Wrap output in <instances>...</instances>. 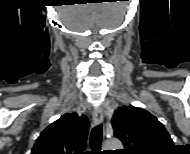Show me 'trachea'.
<instances>
[{
  "label": "trachea",
  "mask_w": 190,
  "mask_h": 154,
  "mask_svg": "<svg viewBox=\"0 0 190 154\" xmlns=\"http://www.w3.org/2000/svg\"><path fill=\"white\" fill-rule=\"evenodd\" d=\"M102 126L99 124L95 126L90 135V146H91V154H100L101 151V143H102Z\"/></svg>",
  "instance_id": "trachea-1"
}]
</instances>
